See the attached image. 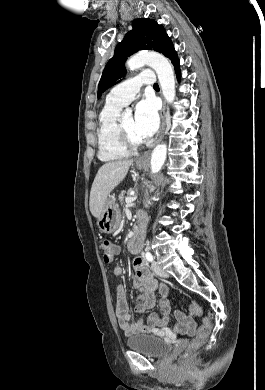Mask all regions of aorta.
I'll list each match as a JSON object with an SVG mask.
<instances>
[{
	"label": "aorta",
	"mask_w": 265,
	"mask_h": 390,
	"mask_svg": "<svg viewBox=\"0 0 265 390\" xmlns=\"http://www.w3.org/2000/svg\"><path fill=\"white\" fill-rule=\"evenodd\" d=\"M148 65L153 68L158 76L162 94L168 103L175 99V78L171 63L161 54L156 52H141L132 56L127 61V67L135 70ZM132 115L131 109H126L124 117ZM167 155V145L162 143L157 145L151 155V171L157 173L161 170Z\"/></svg>",
	"instance_id": "aorta-1"
}]
</instances>
